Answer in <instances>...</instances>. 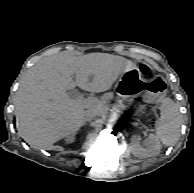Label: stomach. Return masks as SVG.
Here are the masks:
<instances>
[{
    "label": "stomach",
    "mask_w": 194,
    "mask_h": 193,
    "mask_svg": "<svg viewBox=\"0 0 194 193\" xmlns=\"http://www.w3.org/2000/svg\"><path fill=\"white\" fill-rule=\"evenodd\" d=\"M118 90L125 96H145L150 102L162 101L167 93V82L160 76L144 80L136 68L121 74L117 83Z\"/></svg>",
    "instance_id": "1"
}]
</instances>
